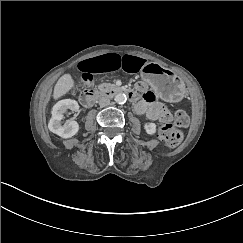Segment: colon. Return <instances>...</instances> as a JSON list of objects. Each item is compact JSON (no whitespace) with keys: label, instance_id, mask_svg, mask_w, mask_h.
<instances>
[{"label":"colon","instance_id":"5ec220e1","mask_svg":"<svg viewBox=\"0 0 243 243\" xmlns=\"http://www.w3.org/2000/svg\"><path fill=\"white\" fill-rule=\"evenodd\" d=\"M92 83L93 79L91 76H84L81 80V84L84 86H90ZM188 122L189 117L184 111H175L173 121L160 127L159 135L161 139L170 147L177 146L183 139V133L180 128L187 126Z\"/></svg>","mask_w":243,"mask_h":243}]
</instances>
